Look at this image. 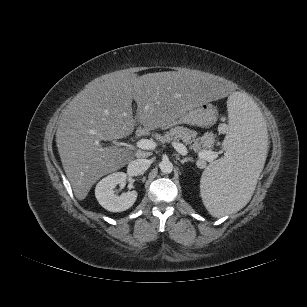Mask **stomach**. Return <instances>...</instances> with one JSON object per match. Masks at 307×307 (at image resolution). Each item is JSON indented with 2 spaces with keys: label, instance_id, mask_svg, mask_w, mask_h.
I'll return each mask as SVG.
<instances>
[{
  "label": "stomach",
  "instance_id": "0dacf381",
  "mask_svg": "<svg viewBox=\"0 0 307 307\" xmlns=\"http://www.w3.org/2000/svg\"><path fill=\"white\" fill-rule=\"evenodd\" d=\"M217 115V109L212 104L200 103L178 116L164 128L181 123L194 126H210L217 120Z\"/></svg>",
  "mask_w": 307,
  "mask_h": 307
}]
</instances>
